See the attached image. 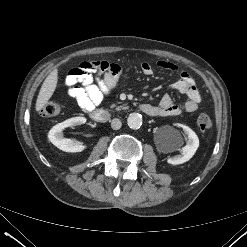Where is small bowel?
I'll list each match as a JSON object with an SVG mask.
<instances>
[{
    "label": "small bowel",
    "instance_id": "c3829d8e",
    "mask_svg": "<svg viewBox=\"0 0 247 247\" xmlns=\"http://www.w3.org/2000/svg\"><path fill=\"white\" fill-rule=\"evenodd\" d=\"M158 67L171 71L180 72V78L173 82L169 88L186 95V101L180 106L176 104L169 94H165L156 108L159 117L177 116L181 112H194L202 100L201 93L193 78L184 70L169 61H159ZM141 72L150 76L153 74V66L149 62H143ZM121 67L110 61H84L76 68L70 70L65 84L68 95L75 100L80 108L91 111L102 103L119 82ZM80 84V85H78Z\"/></svg>",
    "mask_w": 247,
    "mask_h": 247
}]
</instances>
